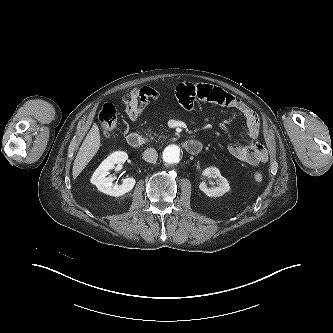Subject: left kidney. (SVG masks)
Listing matches in <instances>:
<instances>
[{
  "label": "left kidney",
  "instance_id": "obj_1",
  "mask_svg": "<svg viewBox=\"0 0 333 333\" xmlns=\"http://www.w3.org/2000/svg\"><path fill=\"white\" fill-rule=\"evenodd\" d=\"M203 176L219 179L218 187H207L203 181L199 185V189L209 197H220L230 190L228 180L224 178L219 169L216 167H208L202 172Z\"/></svg>",
  "mask_w": 333,
  "mask_h": 333
}]
</instances>
